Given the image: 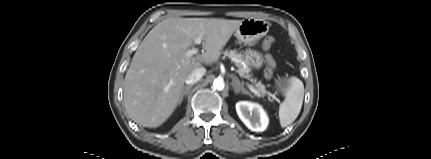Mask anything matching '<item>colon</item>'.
I'll return each mask as SVG.
<instances>
[{
  "label": "colon",
  "instance_id": "colon-1",
  "mask_svg": "<svg viewBox=\"0 0 431 159\" xmlns=\"http://www.w3.org/2000/svg\"><path fill=\"white\" fill-rule=\"evenodd\" d=\"M274 41L275 39L272 36L266 37L263 42V48L265 50H269L273 45ZM265 61H266L267 67L265 69L264 75L267 79H271L274 76V69L276 66V62L271 55H266Z\"/></svg>",
  "mask_w": 431,
  "mask_h": 159
}]
</instances>
